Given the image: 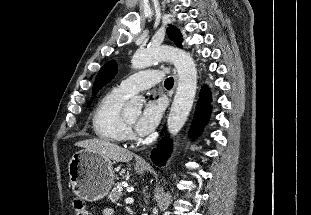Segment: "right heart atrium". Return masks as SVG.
I'll use <instances>...</instances> for the list:
<instances>
[{
	"label": "right heart atrium",
	"mask_w": 311,
	"mask_h": 215,
	"mask_svg": "<svg viewBox=\"0 0 311 215\" xmlns=\"http://www.w3.org/2000/svg\"><path fill=\"white\" fill-rule=\"evenodd\" d=\"M127 135L130 136L131 135V130L128 128L127 129Z\"/></svg>",
	"instance_id": "right-heart-atrium-1"
}]
</instances>
